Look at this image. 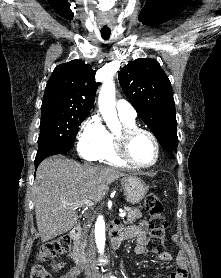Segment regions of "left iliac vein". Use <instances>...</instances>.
Listing matches in <instances>:
<instances>
[{"instance_id": "left-iliac-vein-1", "label": "left iliac vein", "mask_w": 221, "mask_h": 278, "mask_svg": "<svg viewBox=\"0 0 221 278\" xmlns=\"http://www.w3.org/2000/svg\"><path fill=\"white\" fill-rule=\"evenodd\" d=\"M95 278H107V277L103 276L101 273H98Z\"/></svg>"}]
</instances>
